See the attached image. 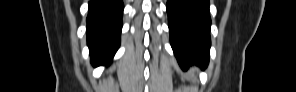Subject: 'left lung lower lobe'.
Wrapping results in <instances>:
<instances>
[{
	"label": "left lung lower lobe",
	"instance_id": "obj_1",
	"mask_svg": "<svg viewBox=\"0 0 296 92\" xmlns=\"http://www.w3.org/2000/svg\"><path fill=\"white\" fill-rule=\"evenodd\" d=\"M170 41L182 68L207 66L210 50L209 0H167Z\"/></svg>",
	"mask_w": 296,
	"mask_h": 92
}]
</instances>
